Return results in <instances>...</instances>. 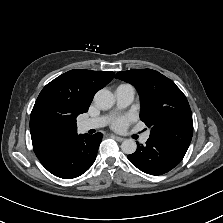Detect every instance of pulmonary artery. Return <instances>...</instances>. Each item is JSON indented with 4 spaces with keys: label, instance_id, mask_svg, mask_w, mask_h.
I'll list each match as a JSON object with an SVG mask.
<instances>
[{
    "label": "pulmonary artery",
    "instance_id": "pulmonary-artery-1",
    "mask_svg": "<svg viewBox=\"0 0 223 223\" xmlns=\"http://www.w3.org/2000/svg\"><path fill=\"white\" fill-rule=\"evenodd\" d=\"M115 97L117 101V107L122 109L130 105L134 100L135 90L131 85L128 84H121L119 85L115 92ZM107 122L106 117H97V118H90L85 120L82 123V126L85 129H96L104 126ZM139 138L142 142H146L149 140L150 135L148 132L143 131L140 133Z\"/></svg>",
    "mask_w": 223,
    "mask_h": 223
}]
</instances>
